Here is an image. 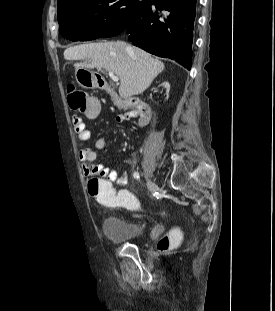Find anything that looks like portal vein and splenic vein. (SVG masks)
<instances>
[{
    "label": "portal vein and splenic vein",
    "mask_w": 275,
    "mask_h": 311,
    "mask_svg": "<svg viewBox=\"0 0 275 311\" xmlns=\"http://www.w3.org/2000/svg\"><path fill=\"white\" fill-rule=\"evenodd\" d=\"M109 77L112 79L113 82L119 81V78L113 72H109Z\"/></svg>",
    "instance_id": "18ae733b"
}]
</instances>
